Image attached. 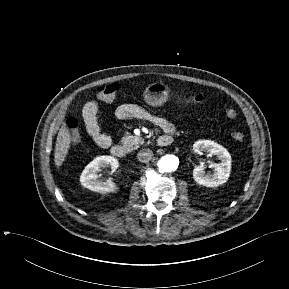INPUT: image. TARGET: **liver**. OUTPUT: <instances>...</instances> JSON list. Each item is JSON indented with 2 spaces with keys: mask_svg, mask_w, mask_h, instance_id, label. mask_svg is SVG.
I'll list each match as a JSON object with an SVG mask.
<instances>
[{
  "mask_svg": "<svg viewBox=\"0 0 289 289\" xmlns=\"http://www.w3.org/2000/svg\"><path fill=\"white\" fill-rule=\"evenodd\" d=\"M71 143L70 132L67 129L66 125L59 129L56 145H55V153H54V162L57 168H59L68 154Z\"/></svg>",
  "mask_w": 289,
  "mask_h": 289,
  "instance_id": "1",
  "label": "liver"
}]
</instances>
